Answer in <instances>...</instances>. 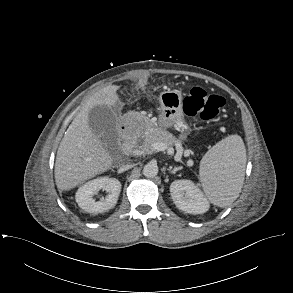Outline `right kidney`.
Instances as JSON below:
<instances>
[{
    "label": "right kidney",
    "mask_w": 293,
    "mask_h": 293,
    "mask_svg": "<svg viewBox=\"0 0 293 293\" xmlns=\"http://www.w3.org/2000/svg\"><path fill=\"white\" fill-rule=\"evenodd\" d=\"M105 190L108 195L95 201L93 196L99 190ZM121 191V183L116 178L99 177L82 185L76 192V202L79 207L88 213H103L113 208Z\"/></svg>",
    "instance_id": "obj_1"
}]
</instances>
